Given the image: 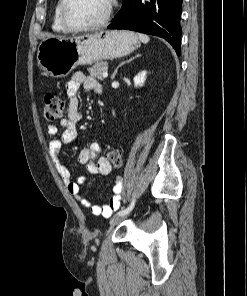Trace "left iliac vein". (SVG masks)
<instances>
[{
  "label": "left iliac vein",
  "instance_id": "left-iliac-vein-1",
  "mask_svg": "<svg viewBox=\"0 0 247 296\" xmlns=\"http://www.w3.org/2000/svg\"><path fill=\"white\" fill-rule=\"evenodd\" d=\"M126 217H127V214L115 215L113 218H111L110 224L117 225L120 222H122Z\"/></svg>",
  "mask_w": 247,
  "mask_h": 296
}]
</instances>
